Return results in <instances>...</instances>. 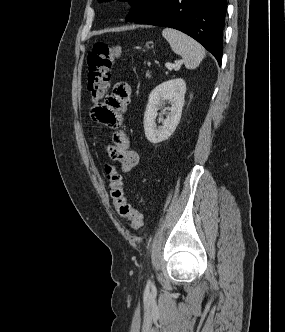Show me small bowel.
Instances as JSON below:
<instances>
[{
  "label": "small bowel",
  "instance_id": "c3829d8e",
  "mask_svg": "<svg viewBox=\"0 0 285 332\" xmlns=\"http://www.w3.org/2000/svg\"><path fill=\"white\" fill-rule=\"evenodd\" d=\"M131 87L126 82H118L104 103L91 109L94 122L113 128L112 143L107 152L111 159L118 161L125 172L132 170L139 163V155L130 149V138L121 127L124 114L131 100Z\"/></svg>",
  "mask_w": 285,
  "mask_h": 332
}]
</instances>
